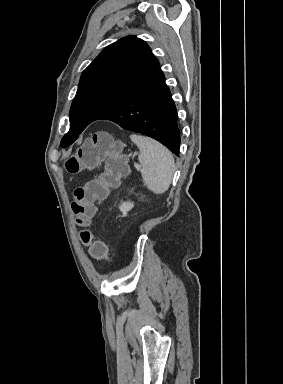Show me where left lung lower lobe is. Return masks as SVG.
Wrapping results in <instances>:
<instances>
[{
  "mask_svg": "<svg viewBox=\"0 0 283 384\" xmlns=\"http://www.w3.org/2000/svg\"><path fill=\"white\" fill-rule=\"evenodd\" d=\"M100 119L114 121L124 129L152 137L179 156L177 110L159 67L96 120Z\"/></svg>",
  "mask_w": 283,
  "mask_h": 384,
  "instance_id": "1",
  "label": "left lung lower lobe"
}]
</instances>
